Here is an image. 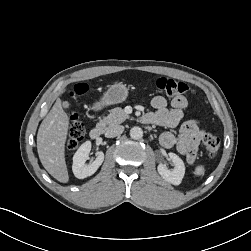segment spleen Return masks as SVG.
I'll return each mask as SVG.
<instances>
[{
	"label": "spleen",
	"instance_id": "spleen-1",
	"mask_svg": "<svg viewBox=\"0 0 251 251\" xmlns=\"http://www.w3.org/2000/svg\"><path fill=\"white\" fill-rule=\"evenodd\" d=\"M204 172H205V169H204L203 166H197L196 169H195L194 174L196 176H202V175H204Z\"/></svg>",
	"mask_w": 251,
	"mask_h": 251
}]
</instances>
